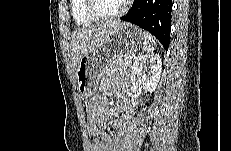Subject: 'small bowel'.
I'll use <instances>...</instances> for the list:
<instances>
[{
  "instance_id": "obj_1",
  "label": "small bowel",
  "mask_w": 231,
  "mask_h": 151,
  "mask_svg": "<svg viewBox=\"0 0 231 151\" xmlns=\"http://www.w3.org/2000/svg\"><path fill=\"white\" fill-rule=\"evenodd\" d=\"M112 91L118 101L115 104L116 110L122 116L112 123L115 133L113 135L105 132L102 127L110 121L109 100L106 96ZM132 117V110L129 101L124 97L122 86L110 80L102 81L99 93L92 97L87 106V121L92 137V151H119L124 136V130Z\"/></svg>"
}]
</instances>
